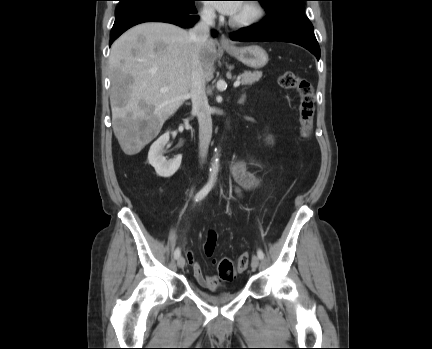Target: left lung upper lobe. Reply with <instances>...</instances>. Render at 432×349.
Returning <instances> with one entry per match:
<instances>
[{
    "label": "left lung upper lobe",
    "mask_w": 432,
    "mask_h": 349,
    "mask_svg": "<svg viewBox=\"0 0 432 349\" xmlns=\"http://www.w3.org/2000/svg\"><path fill=\"white\" fill-rule=\"evenodd\" d=\"M260 1L268 14L274 11L304 14V1L307 0H257Z\"/></svg>",
    "instance_id": "left-lung-upper-lobe-1"
}]
</instances>
